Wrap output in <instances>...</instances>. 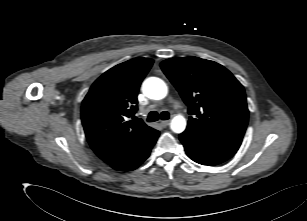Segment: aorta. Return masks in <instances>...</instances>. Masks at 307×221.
Returning a JSON list of instances; mask_svg holds the SVG:
<instances>
[{
  "instance_id": "obj_1",
  "label": "aorta",
  "mask_w": 307,
  "mask_h": 221,
  "mask_svg": "<svg viewBox=\"0 0 307 221\" xmlns=\"http://www.w3.org/2000/svg\"><path fill=\"white\" fill-rule=\"evenodd\" d=\"M143 93L150 99L161 100L166 97L168 88L166 83L157 77L147 78L142 85ZM170 127L175 133H182L186 128V119L182 115H176Z\"/></svg>"
}]
</instances>
